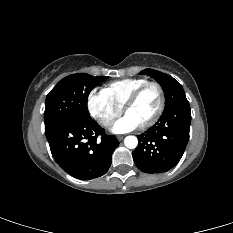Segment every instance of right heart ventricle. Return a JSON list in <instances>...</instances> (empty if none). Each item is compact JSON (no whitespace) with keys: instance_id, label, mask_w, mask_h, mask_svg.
Here are the masks:
<instances>
[{"instance_id":"1","label":"right heart ventricle","mask_w":233,"mask_h":233,"mask_svg":"<svg viewBox=\"0 0 233 233\" xmlns=\"http://www.w3.org/2000/svg\"><path fill=\"white\" fill-rule=\"evenodd\" d=\"M146 82L144 78L116 80L107 84L102 91L113 103L123 107L131 93Z\"/></svg>"}]
</instances>
